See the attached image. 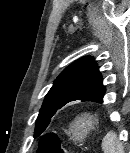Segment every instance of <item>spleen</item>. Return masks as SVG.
<instances>
[{
	"mask_svg": "<svg viewBox=\"0 0 130 153\" xmlns=\"http://www.w3.org/2000/svg\"><path fill=\"white\" fill-rule=\"evenodd\" d=\"M102 149L104 153H123V146L118 141L117 135L114 131H110L103 138Z\"/></svg>",
	"mask_w": 130,
	"mask_h": 153,
	"instance_id": "1",
	"label": "spleen"
}]
</instances>
